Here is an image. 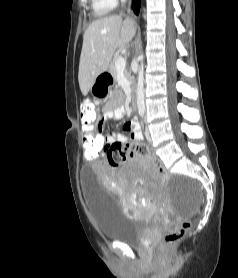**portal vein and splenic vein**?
Wrapping results in <instances>:
<instances>
[{
	"mask_svg": "<svg viewBox=\"0 0 238 278\" xmlns=\"http://www.w3.org/2000/svg\"><path fill=\"white\" fill-rule=\"evenodd\" d=\"M126 66V60L123 57H120L117 61H116V68L117 70H121L124 69Z\"/></svg>",
	"mask_w": 238,
	"mask_h": 278,
	"instance_id": "18ae733b",
	"label": "portal vein and splenic vein"
}]
</instances>
